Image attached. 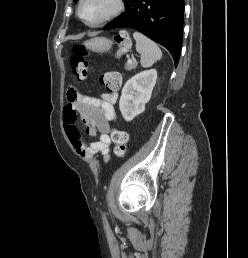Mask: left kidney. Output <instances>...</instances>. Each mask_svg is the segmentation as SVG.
Masks as SVG:
<instances>
[{
    "instance_id": "5707ae66",
    "label": "left kidney",
    "mask_w": 248,
    "mask_h": 258,
    "mask_svg": "<svg viewBox=\"0 0 248 258\" xmlns=\"http://www.w3.org/2000/svg\"><path fill=\"white\" fill-rule=\"evenodd\" d=\"M156 80V69H149L137 73L126 82L119 101V108L125 121L130 122L144 112Z\"/></svg>"
}]
</instances>
